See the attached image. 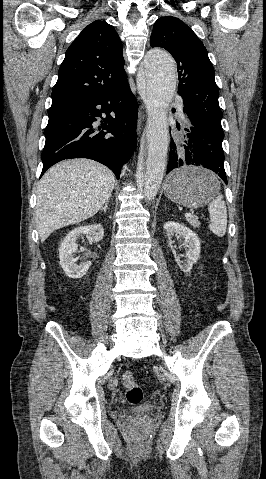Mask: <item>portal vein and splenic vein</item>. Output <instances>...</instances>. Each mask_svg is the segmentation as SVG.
Returning <instances> with one entry per match:
<instances>
[{"label": "portal vein and splenic vein", "mask_w": 266, "mask_h": 479, "mask_svg": "<svg viewBox=\"0 0 266 479\" xmlns=\"http://www.w3.org/2000/svg\"><path fill=\"white\" fill-rule=\"evenodd\" d=\"M185 217H186V218H191V217H192V213H191V212L186 213V214H185Z\"/></svg>", "instance_id": "portal-vein-and-splenic-vein-1"}]
</instances>
